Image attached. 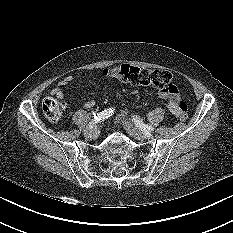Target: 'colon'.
<instances>
[{
  "mask_svg": "<svg viewBox=\"0 0 233 233\" xmlns=\"http://www.w3.org/2000/svg\"><path fill=\"white\" fill-rule=\"evenodd\" d=\"M104 75L134 86H151L159 91H176L172 83V75L166 70H147L122 64L105 70ZM64 109V103L55 98L47 97L42 101L43 114L52 123H57L62 119ZM179 118L186 119V105L182 101L179 102Z\"/></svg>",
  "mask_w": 233,
  "mask_h": 233,
  "instance_id": "5ec220e1",
  "label": "colon"
}]
</instances>
